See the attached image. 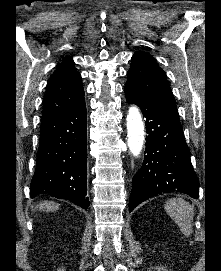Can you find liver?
<instances>
[{
  "label": "liver",
  "mask_w": 221,
  "mask_h": 271,
  "mask_svg": "<svg viewBox=\"0 0 221 271\" xmlns=\"http://www.w3.org/2000/svg\"><path fill=\"white\" fill-rule=\"evenodd\" d=\"M36 207L41 209V211H56V209H59V203H55V201H43V203L36 205Z\"/></svg>",
  "instance_id": "6515ba94"
}]
</instances>
